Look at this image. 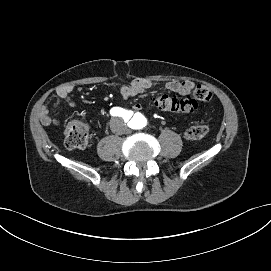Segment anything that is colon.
Returning <instances> with one entry per match:
<instances>
[{
  "instance_id": "colon-1",
  "label": "colon",
  "mask_w": 271,
  "mask_h": 271,
  "mask_svg": "<svg viewBox=\"0 0 271 271\" xmlns=\"http://www.w3.org/2000/svg\"><path fill=\"white\" fill-rule=\"evenodd\" d=\"M212 99V92L203 85H198L192 96L176 97L160 95L153 101L154 106L168 112L191 113L197 109V101L208 102ZM210 130V125H194L185 133L188 140L202 139ZM91 137L86 125L79 120H72L66 127L64 144L69 149H87L91 146Z\"/></svg>"
}]
</instances>
